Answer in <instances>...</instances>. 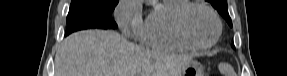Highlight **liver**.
I'll return each mask as SVG.
<instances>
[{"instance_id":"obj_1","label":"liver","mask_w":287,"mask_h":76,"mask_svg":"<svg viewBox=\"0 0 287 76\" xmlns=\"http://www.w3.org/2000/svg\"><path fill=\"white\" fill-rule=\"evenodd\" d=\"M192 56L147 50L113 31L68 36L55 55V76H181Z\"/></svg>"}]
</instances>
